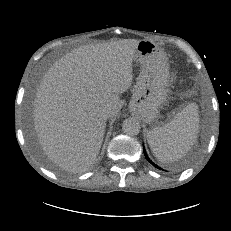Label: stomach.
<instances>
[{
	"label": "stomach",
	"mask_w": 231,
	"mask_h": 231,
	"mask_svg": "<svg viewBox=\"0 0 231 231\" xmlns=\"http://www.w3.org/2000/svg\"><path fill=\"white\" fill-rule=\"evenodd\" d=\"M134 60L141 64V70L129 108L152 125L159 117L160 107L168 95L170 74L167 58L154 42L140 40Z\"/></svg>",
	"instance_id": "1"
}]
</instances>
